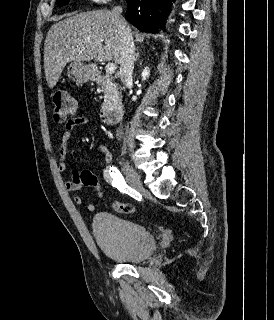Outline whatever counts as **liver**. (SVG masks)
I'll use <instances>...</instances> for the list:
<instances>
[{
    "label": "liver",
    "instance_id": "liver-1",
    "mask_svg": "<svg viewBox=\"0 0 274 320\" xmlns=\"http://www.w3.org/2000/svg\"><path fill=\"white\" fill-rule=\"evenodd\" d=\"M51 26L44 44V68L49 88L56 86L69 62L120 64L121 38L110 10L82 12ZM104 42V44H103Z\"/></svg>",
    "mask_w": 274,
    "mask_h": 320
}]
</instances>
